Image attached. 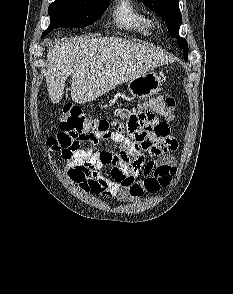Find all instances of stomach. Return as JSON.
<instances>
[{"label":"stomach","instance_id":"1","mask_svg":"<svg viewBox=\"0 0 233 294\" xmlns=\"http://www.w3.org/2000/svg\"><path fill=\"white\" fill-rule=\"evenodd\" d=\"M128 90L135 98H148L161 90V79L154 72H147L128 82Z\"/></svg>","mask_w":233,"mask_h":294}]
</instances>
